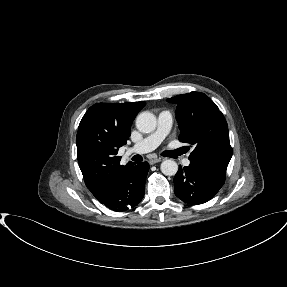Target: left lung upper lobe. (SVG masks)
<instances>
[{
  "mask_svg": "<svg viewBox=\"0 0 287 287\" xmlns=\"http://www.w3.org/2000/svg\"><path fill=\"white\" fill-rule=\"evenodd\" d=\"M177 104L179 140L192 145L190 161L226 169L232 157L227 122L217 105L205 94L190 92L167 99Z\"/></svg>",
  "mask_w": 287,
  "mask_h": 287,
  "instance_id": "obj_1",
  "label": "left lung upper lobe"
}]
</instances>
